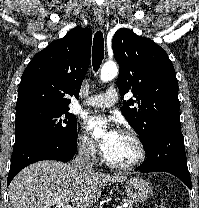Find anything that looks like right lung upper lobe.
<instances>
[{"label": "right lung upper lobe", "mask_w": 199, "mask_h": 208, "mask_svg": "<svg viewBox=\"0 0 199 208\" xmlns=\"http://www.w3.org/2000/svg\"><path fill=\"white\" fill-rule=\"evenodd\" d=\"M92 30L76 27L34 55L24 70L16 111L30 107L69 109L66 95L79 97L90 63Z\"/></svg>", "instance_id": "right-lung-upper-lobe-1"}]
</instances>
